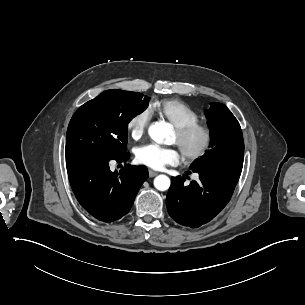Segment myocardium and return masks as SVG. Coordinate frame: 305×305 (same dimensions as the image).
Instances as JSON below:
<instances>
[{"mask_svg":"<svg viewBox=\"0 0 305 305\" xmlns=\"http://www.w3.org/2000/svg\"><path fill=\"white\" fill-rule=\"evenodd\" d=\"M176 133L181 141L192 137L196 133H200L203 136L202 142L194 150H181L182 156L189 162L198 161L205 157L211 150L215 138L212 127L201 122L177 126Z\"/></svg>","mask_w":305,"mask_h":305,"instance_id":"1","label":"myocardium"}]
</instances>
